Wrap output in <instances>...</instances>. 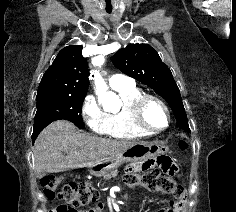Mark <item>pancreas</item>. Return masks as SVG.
<instances>
[{"label":"pancreas","instance_id":"1","mask_svg":"<svg viewBox=\"0 0 236 212\" xmlns=\"http://www.w3.org/2000/svg\"><path fill=\"white\" fill-rule=\"evenodd\" d=\"M117 173H118V171L115 170V171L111 172L110 174L106 175L105 178H106V179H109V178H111V177H115V176L117 175Z\"/></svg>","mask_w":236,"mask_h":212}]
</instances>
